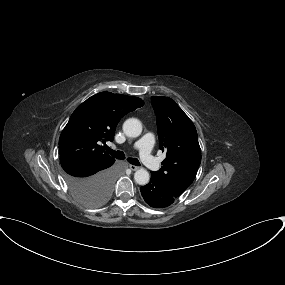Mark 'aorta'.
I'll return each mask as SVG.
<instances>
[{
	"mask_svg": "<svg viewBox=\"0 0 285 285\" xmlns=\"http://www.w3.org/2000/svg\"><path fill=\"white\" fill-rule=\"evenodd\" d=\"M123 132L128 137H138L142 132V124L136 118H129L123 124ZM150 175L146 169H138L134 174V180L139 185H146Z\"/></svg>",
	"mask_w": 285,
	"mask_h": 285,
	"instance_id": "1",
	"label": "aorta"
}]
</instances>
